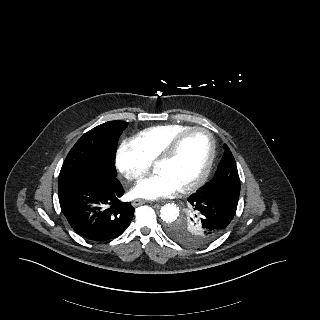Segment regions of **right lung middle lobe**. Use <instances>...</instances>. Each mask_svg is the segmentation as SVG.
<instances>
[{
    "label": "right lung middle lobe",
    "instance_id": "1",
    "mask_svg": "<svg viewBox=\"0 0 320 320\" xmlns=\"http://www.w3.org/2000/svg\"><path fill=\"white\" fill-rule=\"evenodd\" d=\"M125 121H109L85 133L63 162L58 187L90 176L116 178L115 154Z\"/></svg>",
    "mask_w": 320,
    "mask_h": 320
}]
</instances>
